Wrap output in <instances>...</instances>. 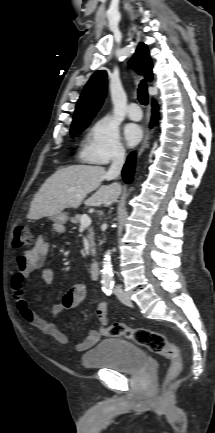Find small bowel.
I'll return each mask as SVG.
<instances>
[{
  "mask_svg": "<svg viewBox=\"0 0 215 433\" xmlns=\"http://www.w3.org/2000/svg\"><path fill=\"white\" fill-rule=\"evenodd\" d=\"M62 229H58L60 233ZM50 250V243L43 236L37 237L33 247L23 251L17 257V267L11 279V288L14 301L22 318L42 333L53 337L61 344L71 343L69 335L59 326L58 321L65 310L75 309L85 298L86 287L83 284H76L69 288L62 297L59 304H55L51 309L54 321L40 317L28 304L25 296V281L30 274L36 270H42L43 280L51 283L55 280L53 269L45 267L46 257ZM97 317L102 325L108 324V306L106 302H101L97 308ZM101 337L99 331H91L81 342L75 345L78 351H86L95 345Z\"/></svg>",
  "mask_w": 215,
  "mask_h": 433,
  "instance_id": "small-bowel-1",
  "label": "small bowel"
}]
</instances>
